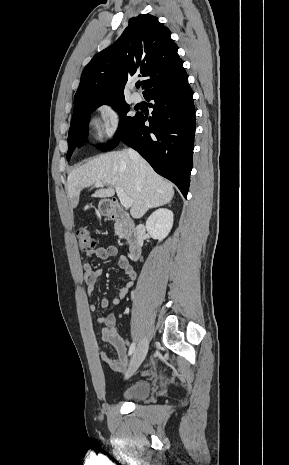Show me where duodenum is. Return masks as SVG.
Returning <instances> with one entry per match:
<instances>
[{"label": "duodenum", "instance_id": "1", "mask_svg": "<svg viewBox=\"0 0 289 465\" xmlns=\"http://www.w3.org/2000/svg\"><path fill=\"white\" fill-rule=\"evenodd\" d=\"M104 212L108 218L116 221L121 226L128 240L129 257L134 261L138 260L142 252V237L129 215L122 209L117 199L109 200Z\"/></svg>", "mask_w": 289, "mask_h": 465}]
</instances>
